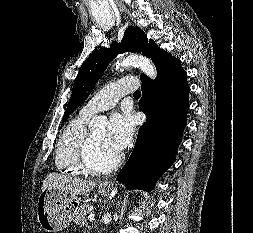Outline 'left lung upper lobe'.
Here are the masks:
<instances>
[{"instance_id":"left-lung-upper-lobe-1","label":"left lung upper lobe","mask_w":253,"mask_h":233,"mask_svg":"<svg viewBox=\"0 0 253 233\" xmlns=\"http://www.w3.org/2000/svg\"><path fill=\"white\" fill-rule=\"evenodd\" d=\"M163 50L146 37V34L137 26H129L121 43L113 42L109 49L102 48L93 52L81 65L79 73L74 81L71 98L68 102L67 110L63 117V122L68 116L82 104L92 89L98 78L104 73L107 65L117 54L125 52H142L143 55L154 60Z\"/></svg>"}]
</instances>
